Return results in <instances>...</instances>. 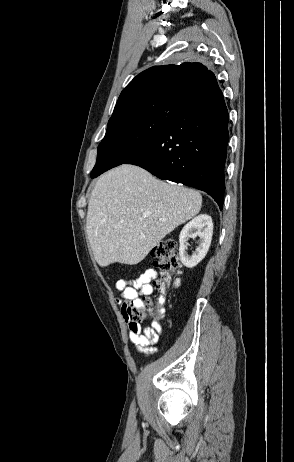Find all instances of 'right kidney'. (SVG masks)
<instances>
[{
  "mask_svg": "<svg viewBox=\"0 0 294 462\" xmlns=\"http://www.w3.org/2000/svg\"><path fill=\"white\" fill-rule=\"evenodd\" d=\"M212 234V218L207 214L198 215L183 227L179 236V255L184 266L193 268L204 259L211 244ZM197 236L199 237V245L195 252L189 256L186 252L187 240Z\"/></svg>",
  "mask_w": 294,
  "mask_h": 462,
  "instance_id": "obj_1",
  "label": "right kidney"
}]
</instances>
